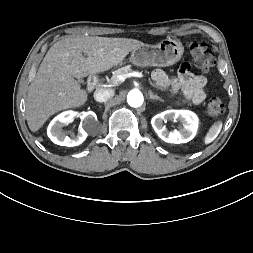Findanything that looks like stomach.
Returning a JSON list of instances; mask_svg holds the SVG:
<instances>
[{"instance_id": "1", "label": "stomach", "mask_w": 253, "mask_h": 253, "mask_svg": "<svg viewBox=\"0 0 253 253\" xmlns=\"http://www.w3.org/2000/svg\"><path fill=\"white\" fill-rule=\"evenodd\" d=\"M184 52L182 43L167 38L157 45H143L131 51L129 61L136 66L166 67L178 62Z\"/></svg>"}]
</instances>
